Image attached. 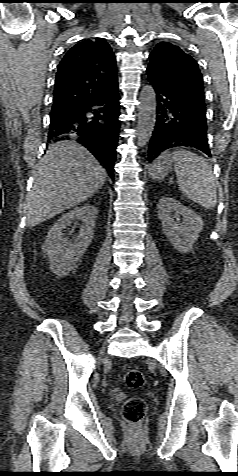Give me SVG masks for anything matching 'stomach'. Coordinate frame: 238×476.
Instances as JSON below:
<instances>
[{
	"instance_id": "stomach-1",
	"label": "stomach",
	"mask_w": 238,
	"mask_h": 476,
	"mask_svg": "<svg viewBox=\"0 0 238 476\" xmlns=\"http://www.w3.org/2000/svg\"><path fill=\"white\" fill-rule=\"evenodd\" d=\"M171 154L165 152L161 154L149 167L148 173L150 177L154 180L164 179L168 171L171 169L173 160L171 159Z\"/></svg>"
}]
</instances>
